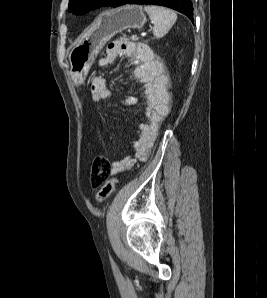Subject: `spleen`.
Returning <instances> with one entry per match:
<instances>
[{
  "mask_svg": "<svg viewBox=\"0 0 267 298\" xmlns=\"http://www.w3.org/2000/svg\"><path fill=\"white\" fill-rule=\"evenodd\" d=\"M144 11L154 24L153 34L156 38L165 36L177 20L176 13L165 7L147 5L144 7Z\"/></svg>",
  "mask_w": 267,
  "mask_h": 298,
  "instance_id": "3e777b00",
  "label": "spleen"
}]
</instances>
